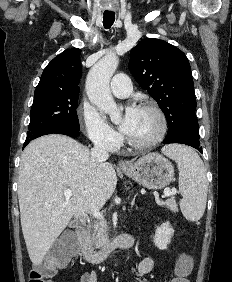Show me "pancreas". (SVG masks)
<instances>
[{"label":"pancreas","instance_id":"obj_1","mask_svg":"<svg viewBox=\"0 0 232 282\" xmlns=\"http://www.w3.org/2000/svg\"><path fill=\"white\" fill-rule=\"evenodd\" d=\"M166 207L172 212L178 211V205L175 199L171 198L166 200ZM109 228L105 222H94L87 230L88 238L96 248H104L109 244L108 239Z\"/></svg>","mask_w":232,"mask_h":282}]
</instances>
